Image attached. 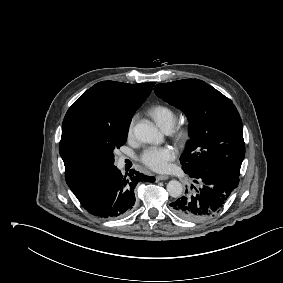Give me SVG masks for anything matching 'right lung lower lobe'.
Masks as SVG:
<instances>
[{"label":"right lung lower lobe","instance_id":"1","mask_svg":"<svg viewBox=\"0 0 283 283\" xmlns=\"http://www.w3.org/2000/svg\"><path fill=\"white\" fill-rule=\"evenodd\" d=\"M154 182L155 178L135 170L123 176L112 165L103 174L72 190L81 205L101 218H118L126 215L135 203L134 190L141 182Z\"/></svg>","mask_w":283,"mask_h":283}]
</instances>
